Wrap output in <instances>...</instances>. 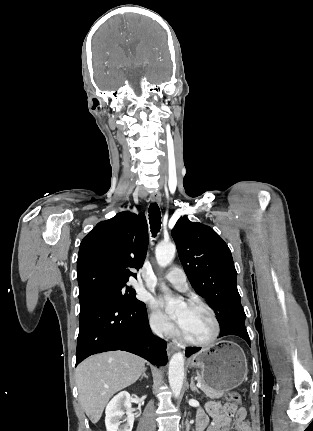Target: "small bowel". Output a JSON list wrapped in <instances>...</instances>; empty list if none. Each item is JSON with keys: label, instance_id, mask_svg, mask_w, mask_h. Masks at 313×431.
Masks as SVG:
<instances>
[{"label": "small bowel", "instance_id": "c3829d8e", "mask_svg": "<svg viewBox=\"0 0 313 431\" xmlns=\"http://www.w3.org/2000/svg\"><path fill=\"white\" fill-rule=\"evenodd\" d=\"M233 417L236 431H252L245 408L233 407L226 412V406L223 407L219 402H209L206 411L199 412L197 431H230Z\"/></svg>", "mask_w": 313, "mask_h": 431}]
</instances>
